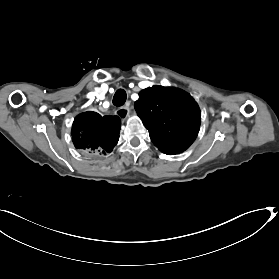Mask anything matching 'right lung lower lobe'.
I'll list each match as a JSON object with an SVG mask.
<instances>
[{"mask_svg": "<svg viewBox=\"0 0 279 279\" xmlns=\"http://www.w3.org/2000/svg\"><path fill=\"white\" fill-rule=\"evenodd\" d=\"M120 125L117 116L101 117L91 111L81 113L73 123V144L91 156L110 153L118 142Z\"/></svg>", "mask_w": 279, "mask_h": 279, "instance_id": "98d812e1", "label": "right lung lower lobe"}]
</instances>
